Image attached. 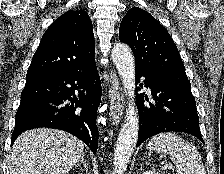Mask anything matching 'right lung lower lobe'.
Wrapping results in <instances>:
<instances>
[{
	"instance_id": "98d812e1",
	"label": "right lung lower lobe",
	"mask_w": 224,
	"mask_h": 174,
	"mask_svg": "<svg viewBox=\"0 0 224 174\" xmlns=\"http://www.w3.org/2000/svg\"><path fill=\"white\" fill-rule=\"evenodd\" d=\"M101 94L95 62L76 70L26 81L16 113L11 144L26 130L48 127L77 136L96 153V118Z\"/></svg>"
}]
</instances>
